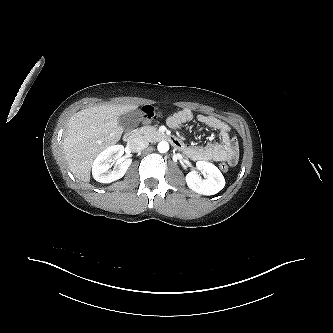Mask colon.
<instances>
[{
  "instance_id": "obj_1",
  "label": "colon",
  "mask_w": 333,
  "mask_h": 333,
  "mask_svg": "<svg viewBox=\"0 0 333 333\" xmlns=\"http://www.w3.org/2000/svg\"><path fill=\"white\" fill-rule=\"evenodd\" d=\"M143 117H142V122L143 124H148L150 123L153 119L157 118L160 113L157 112L153 107L151 106H145L142 109ZM219 168L225 172L228 170L229 166L226 162H222L219 165Z\"/></svg>"
}]
</instances>
